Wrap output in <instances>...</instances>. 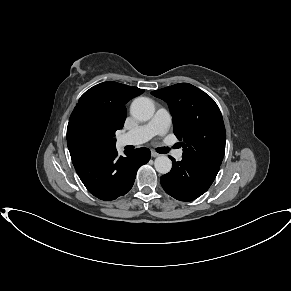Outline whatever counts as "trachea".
I'll return each instance as SVG.
<instances>
[{
    "label": "trachea",
    "mask_w": 291,
    "mask_h": 291,
    "mask_svg": "<svg viewBox=\"0 0 291 291\" xmlns=\"http://www.w3.org/2000/svg\"><path fill=\"white\" fill-rule=\"evenodd\" d=\"M169 150H170V148H168V147H160V148H157V152L158 153H162V154L168 153Z\"/></svg>",
    "instance_id": "1"
}]
</instances>
